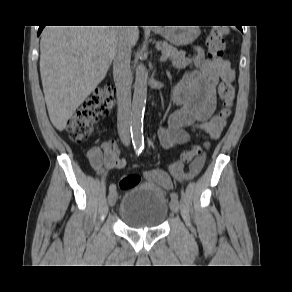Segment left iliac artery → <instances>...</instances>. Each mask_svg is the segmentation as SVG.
Returning a JSON list of instances; mask_svg holds the SVG:
<instances>
[{
	"label": "left iliac artery",
	"mask_w": 292,
	"mask_h": 292,
	"mask_svg": "<svg viewBox=\"0 0 292 292\" xmlns=\"http://www.w3.org/2000/svg\"><path fill=\"white\" fill-rule=\"evenodd\" d=\"M170 197H171V200H177V201H178V194H177V193L172 192V193L170 194Z\"/></svg>",
	"instance_id": "left-iliac-artery-1"
}]
</instances>
